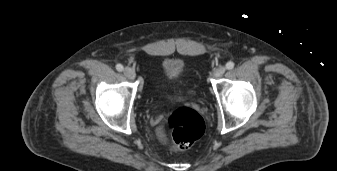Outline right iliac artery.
I'll return each instance as SVG.
<instances>
[{
  "label": "right iliac artery",
  "instance_id": "right-iliac-artery-1",
  "mask_svg": "<svg viewBox=\"0 0 337 171\" xmlns=\"http://www.w3.org/2000/svg\"><path fill=\"white\" fill-rule=\"evenodd\" d=\"M116 69L118 70V71H123V65L122 64H117L116 65Z\"/></svg>",
  "mask_w": 337,
  "mask_h": 171
}]
</instances>
